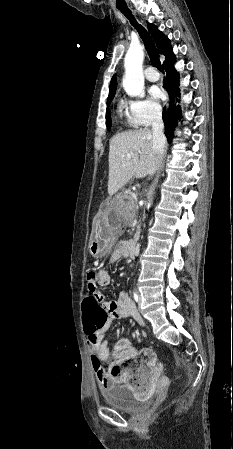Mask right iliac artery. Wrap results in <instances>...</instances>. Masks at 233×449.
Here are the masks:
<instances>
[{"mask_svg": "<svg viewBox=\"0 0 233 449\" xmlns=\"http://www.w3.org/2000/svg\"><path fill=\"white\" fill-rule=\"evenodd\" d=\"M134 299H135L136 302H138V294H137L136 291H134Z\"/></svg>", "mask_w": 233, "mask_h": 449, "instance_id": "right-iliac-artery-1", "label": "right iliac artery"}]
</instances>
